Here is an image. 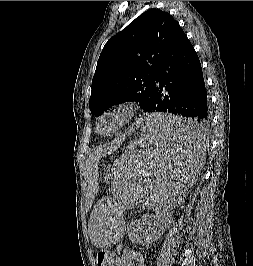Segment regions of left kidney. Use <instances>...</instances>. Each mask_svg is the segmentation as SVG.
I'll list each match as a JSON object with an SVG mask.
<instances>
[{"label": "left kidney", "instance_id": "left-kidney-1", "mask_svg": "<svg viewBox=\"0 0 253 266\" xmlns=\"http://www.w3.org/2000/svg\"><path fill=\"white\" fill-rule=\"evenodd\" d=\"M158 226L159 218L145 216L139 220H132L127 226V234L132 242L145 245L156 238Z\"/></svg>", "mask_w": 253, "mask_h": 266}]
</instances>
